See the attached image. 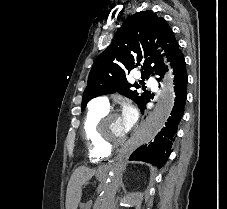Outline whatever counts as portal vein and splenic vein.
<instances>
[{
	"mask_svg": "<svg viewBox=\"0 0 227 209\" xmlns=\"http://www.w3.org/2000/svg\"><path fill=\"white\" fill-rule=\"evenodd\" d=\"M91 202H92L91 200L86 202V205H85L86 209H90L91 208L90 207L91 206Z\"/></svg>",
	"mask_w": 227,
	"mask_h": 209,
	"instance_id": "portal-vein-and-splenic-vein-1",
	"label": "portal vein and splenic vein"
}]
</instances>
